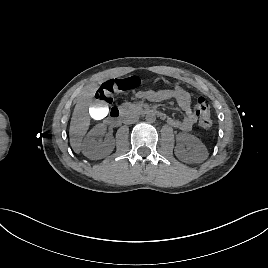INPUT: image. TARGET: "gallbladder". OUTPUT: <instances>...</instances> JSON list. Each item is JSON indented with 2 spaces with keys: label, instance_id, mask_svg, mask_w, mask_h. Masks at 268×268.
I'll return each mask as SVG.
<instances>
[{
  "label": "gallbladder",
  "instance_id": "1",
  "mask_svg": "<svg viewBox=\"0 0 268 268\" xmlns=\"http://www.w3.org/2000/svg\"><path fill=\"white\" fill-rule=\"evenodd\" d=\"M88 111L91 117L95 120L101 121L107 117L109 109L105 103L96 100L89 105Z\"/></svg>",
  "mask_w": 268,
  "mask_h": 268
}]
</instances>
